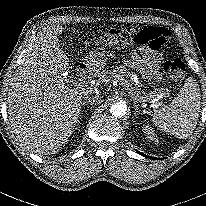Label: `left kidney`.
<instances>
[{"mask_svg":"<svg viewBox=\"0 0 206 206\" xmlns=\"http://www.w3.org/2000/svg\"><path fill=\"white\" fill-rule=\"evenodd\" d=\"M144 130H145V133H146L148 140L153 141L155 144H157L158 139L155 136V132H154L153 128L150 127L149 125H145Z\"/></svg>","mask_w":206,"mask_h":206,"instance_id":"5707ae66","label":"left kidney"}]
</instances>
